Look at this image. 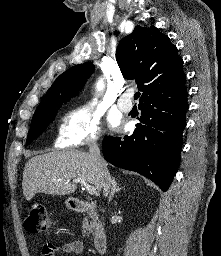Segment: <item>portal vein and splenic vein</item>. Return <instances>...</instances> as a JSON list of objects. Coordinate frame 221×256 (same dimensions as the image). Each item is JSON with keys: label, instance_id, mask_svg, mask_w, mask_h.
Wrapping results in <instances>:
<instances>
[{"label": "portal vein and splenic vein", "instance_id": "1", "mask_svg": "<svg viewBox=\"0 0 221 256\" xmlns=\"http://www.w3.org/2000/svg\"><path fill=\"white\" fill-rule=\"evenodd\" d=\"M73 183H80L90 195H93L96 193V188L92 185H89L84 179L77 178L73 180Z\"/></svg>", "mask_w": 221, "mask_h": 256}]
</instances>
